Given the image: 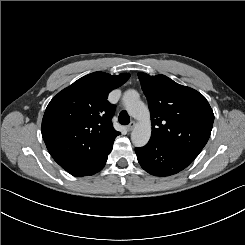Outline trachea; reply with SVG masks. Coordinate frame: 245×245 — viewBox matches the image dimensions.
Returning a JSON list of instances; mask_svg holds the SVG:
<instances>
[{
  "mask_svg": "<svg viewBox=\"0 0 245 245\" xmlns=\"http://www.w3.org/2000/svg\"><path fill=\"white\" fill-rule=\"evenodd\" d=\"M118 120L122 125H128L130 123V117L126 111H121Z\"/></svg>",
  "mask_w": 245,
  "mask_h": 245,
  "instance_id": "1",
  "label": "trachea"
}]
</instances>
